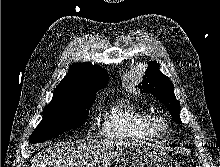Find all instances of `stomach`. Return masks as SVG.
Instances as JSON below:
<instances>
[{"mask_svg":"<svg viewBox=\"0 0 220 167\" xmlns=\"http://www.w3.org/2000/svg\"><path fill=\"white\" fill-rule=\"evenodd\" d=\"M114 167H179L155 146L129 145Z\"/></svg>","mask_w":220,"mask_h":167,"instance_id":"obj_1","label":"stomach"}]
</instances>
